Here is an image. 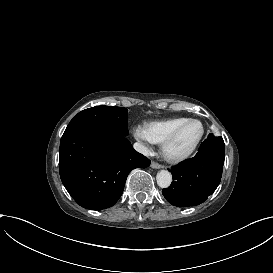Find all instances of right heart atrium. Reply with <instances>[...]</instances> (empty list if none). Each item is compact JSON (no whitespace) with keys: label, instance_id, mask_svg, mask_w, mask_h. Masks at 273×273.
<instances>
[{"label":"right heart atrium","instance_id":"d8ad5b80","mask_svg":"<svg viewBox=\"0 0 273 273\" xmlns=\"http://www.w3.org/2000/svg\"><path fill=\"white\" fill-rule=\"evenodd\" d=\"M133 135H134L135 139L140 142L142 149L145 152H149L151 149L150 148V141L146 136L145 129L142 128L141 126H135L133 128ZM139 188H141V187H139Z\"/></svg>","mask_w":273,"mask_h":273}]
</instances>
